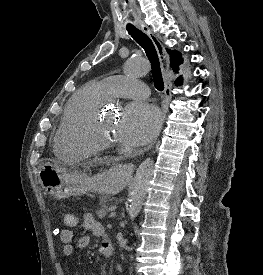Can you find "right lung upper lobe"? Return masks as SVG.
Masks as SVG:
<instances>
[{"mask_svg": "<svg viewBox=\"0 0 263 275\" xmlns=\"http://www.w3.org/2000/svg\"><path fill=\"white\" fill-rule=\"evenodd\" d=\"M168 53L170 54L171 67L175 72H177L178 66L183 62L181 54L178 51L171 50H168ZM180 81H182L181 78L178 79V82Z\"/></svg>", "mask_w": 263, "mask_h": 275, "instance_id": "1", "label": "right lung upper lobe"}]
</instances>
